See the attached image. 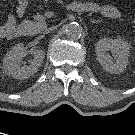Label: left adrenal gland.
<instances>
[{"mask_svg": "<svg viewBox=\"0 0 135 135\" xmlns=\"http://www.w3.org/2000/svg\"><path fill=\"white\" fill-rule=\"evenodd\" d=\"M90 23H100V20H91Z\"/></svg>", "mask_w": 135, "mask_h": 135, "instance_id": "obj_1", "label": "left adrenal gland"}]
</instances>
